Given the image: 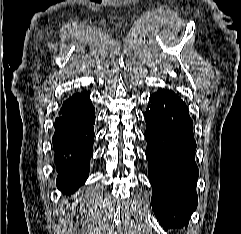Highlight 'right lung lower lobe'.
Instances as JSON below:
<instances>
[{
  "label": "right lung lower lobe",
  "mask_w": 241,
  "mask_h": 234,
  "mask_svg": "<svg viewBox=\"0 0 241 234\" xmlns=\"http://www.w3.org/2000/svg\"><path fill=\"white\" fill-rule=\"evenodd\" d=\"M95 110L89 96L76 93L66 100L55 120L52 138L57 187L71 194L87 179L93 154Z\"/></svg>",
  "instance_id": "obj_1"
}]
</instances>
